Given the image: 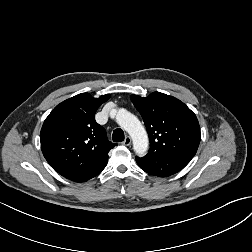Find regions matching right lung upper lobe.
<instances>
[{
	"label": "right lung upper lobe",
	"instance_id": "1",
	"mask_svg": "<svg viewBox=\"0 0 252 252\" xmlns=\"http://www.w3.org/2000/svg\"><path fill=\"white\" fill-rule=\"evenodd\" d=\"M109 98L81 93L57 105L45 119L40 133L43 155L65 178L106 166L108 152L117 144L107 140L94 116Z\"/></svg>",
	"mask_w": 252,
	"mask_h": 252
}]
</instances>
